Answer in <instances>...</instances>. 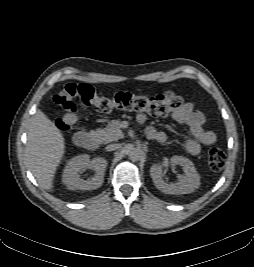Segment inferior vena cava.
<instances>
[{"label": "inferior vena cava", "instance_id": "obj_1", "mask_svg": "<svg viewBox=\"0 0 254 267\" xmlns=\"http://www.w3.org/2000/svg\"><path fill=\"white\" fill-rule=\"evenodd\" d=\"M118 148V145L117 144H110L106 147V150L107 151H113V150H116Z\"/></svg>", "mask_w": 254, "mask_h": 267}]
</instances>
